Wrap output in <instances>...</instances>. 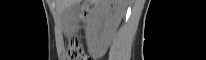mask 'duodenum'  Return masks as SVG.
<instances>
[{
    "mask_svg": "<svg viewBox=\"0 0 206 60\" xmlns=\"http://www.w3.org/2000/svg\"><path fill=\"white\" fill-rule=\"evenodd\" d=\"M88 8H86L85 10H84V17H86L87 15H88Z\"/></svg>",
    "mask_w": 206,
    "mask_h": 60,
    "instance_id": "1",
    "label": "duodenum"
}]
</instances>
